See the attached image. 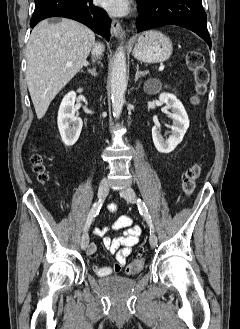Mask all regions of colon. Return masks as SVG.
Returning a JSON list of instances; mask_svg holds the SVG:
<instances>
[{
  "label": "colon",
  "mask_w": 240,
  "mask_h": 329,
  "mask_svg": "<svg viewBox=\"0 0 240 329\" xmlns=\"http://www.w3.org/2000/svg\"><path fill=\"white\" fill-rule=\"evenodd\" d=\"M186 63L188 69L192 72L194 78V96L193 102L197 103L201 95L204 94L206 90L207 83L209 81V73L204 66V59L200 52L192 50L187 54ZM31 163L33 170L37 175V179L40 182H45L48 179V174L46 172L44 156L41 154H34L31 157ZM201 174V168L199 165L195 164L187 169L183 182L182 188L185 194L190 195L195 189L197 179ZM142 259L140 257L135 258L127 266V273L134 274L141 270Z\"/></svg>",
  "instance_id": "1"
}]
</instances>
